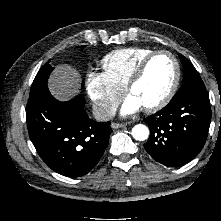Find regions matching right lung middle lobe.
Listing matches in <instances>:
<instances>
[{
	"mask_svg": "<svg viewBox=\"0 0 221 221\" xmlns=\"http://www.w3.org/2000/svg\"><path fill=\"white\" fill-rule=\"evenodd\" d=\"M53 69L54 68L49 63H47L39 70L31 86L30 93H36L38 90L47 87V80Z\"/></svg>",
	"mask_w": 221,
	"mask_h": 221,
	"instance_id": "dd1d6c3e",
	"label": "right lung middle lobe"
}]
</instances>
